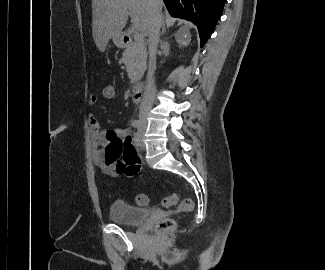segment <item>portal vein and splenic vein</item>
<instances>
[{
	"instance_id": "obj_1",
	"label": "portal vein and splenic vein",
	"mask_w": 325,
	"mask_h": 270,
	"mask_svg": "<svg viewBox=\"0 0 325 270\" xmlns=\"http://www.w3.org/2000/svg\"><path fill=\"white\" fill-rule=\"evenodd\" d=\"M134 40L135 42H137L138 44H143L144 43V37L141 33H139L138 31H134Z\"/></svg>"
}]
</instances>
